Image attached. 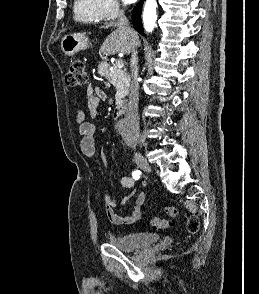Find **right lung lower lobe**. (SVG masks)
<instances>
[{
  "label": "right lung lower lobe",
  "instance_id": "right-lung-lower-lobe-1",
  "mask_svg": "<svg viewBox=\"0 0 259 294\" xmlns=\"http://www.w3.org/2000/svg\"><path fill=\"white\" fill-rule=\"evenodd\" d=\"M143 2H139L132 10V22L134 24V28L142 35L145 36L143 33V26L141 22V9H142Z\"/></svg>",
  "mask_w": 259,
  "mask_h": 294
}]
</instances>
